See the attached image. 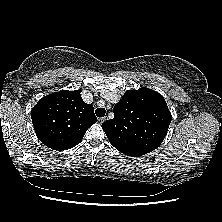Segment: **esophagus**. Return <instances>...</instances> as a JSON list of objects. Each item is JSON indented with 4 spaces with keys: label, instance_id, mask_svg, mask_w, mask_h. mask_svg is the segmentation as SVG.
<instances>
[{
    "label": "esophagus",
    "instance_id": "obj_1",
    "mask_svg": "<svg viewBox=\"0 0 222 222\" xmlns=\"http://www.w3.org/2000/svg\"><path fill=\"white\" fill-rule=\"evenodd\" d=\"M105 120H106L105 117H100V118H98V122H99V123H103Z\"/></svg>",
    "mask_w": 222,
    "mask_h": 222
}]
</instances>
